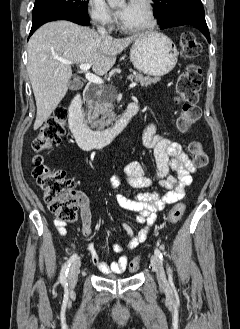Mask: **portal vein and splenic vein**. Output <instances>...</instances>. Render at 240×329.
<instances>
[{
  "label": "portal vein and splenic vein",
  "mask_w": 240,
  "mask_h": 329,
  "mask_svg": "<svg viewBox=\"0 0 240 329\" xmlns=\"http://www.w3.org/2000/svg\"><path fill=\"white\" fill-rule=\"evenodd\" d=\"M60 61H61L62 63H64V64H68V65L73 64V62H72V61H69V60H63V59H60ZM79 67H80V69H81L82 71H87V70L90 69L91 65L88 64V63H84V64H80ZM85 77H86V79H87L89 82H91V83H94V84H97V85H101V84H103V80H102L99 76L94 75V74H92V73H88V72H86V73H85ZM136 85H137L136 82H133V83H131V84L129 85V88H134Z\"/></svg>",
  "instance_id": "obj_1"
}]
</instances>
